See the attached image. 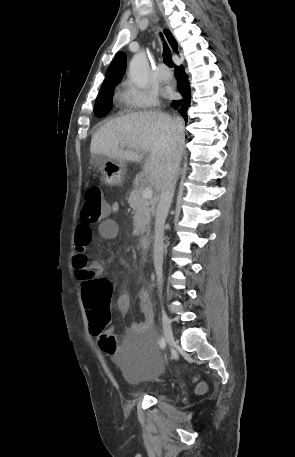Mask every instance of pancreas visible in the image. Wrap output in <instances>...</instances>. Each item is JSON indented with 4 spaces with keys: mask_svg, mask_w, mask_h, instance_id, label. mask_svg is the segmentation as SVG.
<instances>
[{
    "mask_svg": "<svg viewBox=\"0 0 295 457\" xmlns=\"http://www.w3.org/2000/svg\"><path fill=\"white\" fill-rule=\"evenodd\" d=\"M130 207L134 211L133 227L134 235L140 236L150 232L151 213L154 209L150 205L152 203L142 196V189L135 188L131 191L127 199Z\"/></svg>",
    "mask_w": 295,
    "mask_h": 457,
    "instance_id": "obj_1",
    "label": "pancreas"
}]
</instances>
